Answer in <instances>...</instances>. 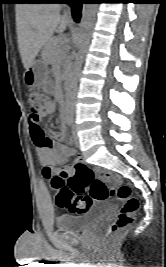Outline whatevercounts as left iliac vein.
Returning a JSON list of instances; mask_svg holds the SVG:
<instances>
[{
	"mask_svg": "<svg viewBox=\"0 0 166 267\" xmlns=\"http://www.w3.org/2000/svg\"><path fill=\"white\" fill-rule=\"evenodd\" d=\"M72 135H73V139H74L75 144L78 145L79 144V138H78L77 133H76L75 124H72Z\"/></svg>",
	"mask_w": 166,
	"mask_h": 267,
	"instance_id": "obj_1",
	"label": "left iliac vein"
}]
</instances>
